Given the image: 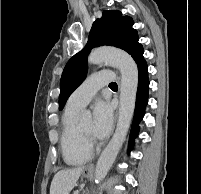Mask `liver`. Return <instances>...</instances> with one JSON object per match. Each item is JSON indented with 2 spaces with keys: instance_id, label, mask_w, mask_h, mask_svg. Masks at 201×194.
Wrapping results in <instances>:
<instances>
[{
  "instance_id": "obj_1",
  "label": "liver",
  "mask_w": 201,
  "mask_h": 194,
  "mask_svg": "<svg viewBox=\"0 0 201 194\" xmlns=\"http://www.w3.org/2000/svg\"><path fill=\"white\" fill-rule=\"evenodd\" d=\"M84 169L85 167H77L58 171L52 179L50 194H69Z\"/></svg>"
}]
</instances>
